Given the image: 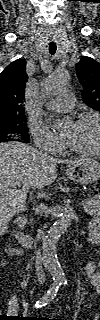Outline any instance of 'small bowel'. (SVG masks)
Here are the masks:
<instances>
[{"instance_id":"1","label":"small bowel","mask_w":100,"mask_h":320,"mask_svg":"<svg viewBox=\"0 0 100 320\" xmlns=\"http://www.w3.org/2000/svg\"><path fill=\"white\" fill-rule=\"evenodd\" d=\"M87 206L89 208H93L94 207V203L92 201H88ZM98 226L99 227V221L98 220H94V222L91 225V229L93 226ZM91 244V243H90ZM92 245V244H91ZM94 246V245H92ZM100 264H98L97 262H90L86 265L85 267V272L87 277L89 278L90 284L97 290H100Z\"/></svg>"}]
</instances>
